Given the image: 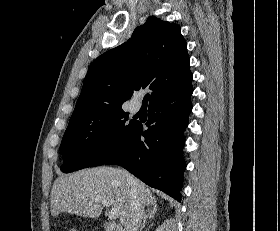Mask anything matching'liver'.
Wrapping results in <instances>:
<instances>
[{
	"mask_svg": "<svg viewBox=\"0 0 280 231\" xmlns=\"http://www.w3.org/2000/svg\"><path fill=\"white\" fill-rule=\"evenodd\" d=\"M139 185V195L145 205L156 203L150 187L142 181ZM129 191L126 173L118 167H92L61 173L52 185L51 213L58 215L61 211H68L84 217H99L102 203L96 199H108L112 207H117L120 223L125 225L131 209Z\"/></svg>",
	"mask_w": 280,
	"mask_h": 231,
	"instance_id": "liver-1",
	"label": "liver"
}]
</instances>
